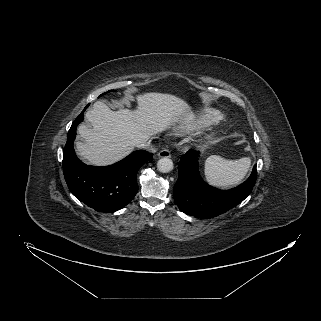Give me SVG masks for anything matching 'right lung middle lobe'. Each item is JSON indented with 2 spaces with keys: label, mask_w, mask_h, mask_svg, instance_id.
I'll return each instance as SVG.
<instances>
[{
  "label": "right lung middle lobe",
  "mask_w": 321,
  "mask_h": 321,
  "mask_svg": "<svg viewBox=\"0 0 321 321\" xmlns=\"http://www.w3.org/2000/svg\"><path fill=\"white\" fill-rule=\"evenodd\" d=\"M110 91H113V90H110ZM110 91H109V92H110ZM104 94H105V93H104ZM104 94H102V95H104ZM102 95H101V96H102Z\"/></svg>",
  "instance_id": "right-lung-middle-lobe-1"
}]
</instances>
